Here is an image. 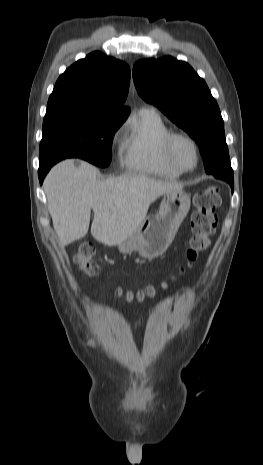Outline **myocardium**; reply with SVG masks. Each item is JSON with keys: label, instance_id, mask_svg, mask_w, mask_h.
I'll return each instance as SVG.
<instances>
[{"label": "myocardium", "instance_id": "1", "mask_svg": "<svg viewBox=\"0 0 263 465\" xmlns=\"http://www.w3.org/2000/svg\"><path fill=\"white\" fill-rule=\"evenodd\" d=\"M177 140H185L193 147L195 153V163L191 168H185L178 163L174 156V144ZM163 155L166 162L175 170L187 173L195 170L199 164L200 151L197 142L188 134L183 132H170L163 141Z\"/></svg>", "mask_w": 263, "mask_h": 465}]
</instances>
